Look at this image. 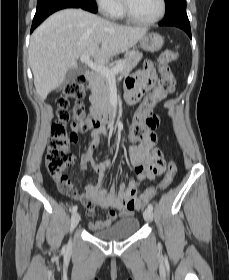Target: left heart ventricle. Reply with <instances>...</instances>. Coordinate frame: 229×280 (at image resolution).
I'll return each instance as SVG.
<instances>
[{"instance_id":"b2bd125f","label":"left heart ventricle","mask_w":229,"mask_h":280,"mask_svg":"<svg viewBox=\"0 0 229 280\" xmlns=\"http://www.w3.org/2000/svg\"><path fill=\"white\" fill-rule=\"evenodd\" d=\"M130 12L137 18L147 20L160 11V0H126Z\"/></svg>"}]
</instances>
